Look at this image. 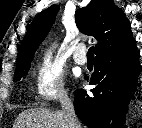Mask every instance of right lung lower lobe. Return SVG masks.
Listing matches in <instances>:
<instances>
[{"label": "right lung lower lobe", "instance_id": "right-lung-lower-lobe-1", "mask_svg": "<svg viewBox=\"0 0 142 128\" xmlns=\"http://www.w3.org/2000/svg\"><path fill=\"white\" fill-rule=\"evenodd\" d=\"M140 71L135 40L113 53L96 57L89 82L97 84L90 90L93 95L83 89L74 92L77 116L89 128H124L127 105Z\"/></svg>", "mask_w": 142, "mask_h": 128}]
</instances>
